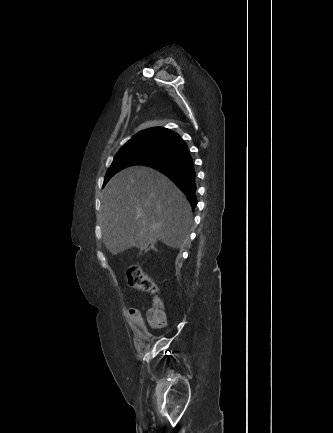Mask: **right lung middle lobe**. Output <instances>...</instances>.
Returning <instances> with one entry per match:
<instances>
[{
  "label": "right lung middle lobe",
  "instance_id": "dd1d6c3e",
  "mask_svg": "<svg viewBox=\"0 0 333 433\" xmlns=\"http://www.w3.org/2000/svg\"><path fill=\"white\" fill-rule=\"evenodd\" d=\"M171 152L161 144L146 142L132 146H123L108 169L103 186L121 169L130 165H144L167 156Z\"/></svg>",
  "mask_w": 333,
  "mask_h": 433
}]
</instances>
